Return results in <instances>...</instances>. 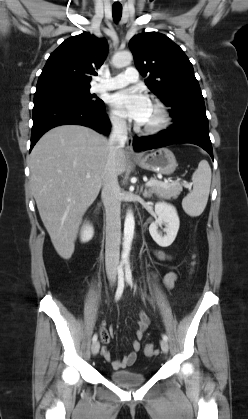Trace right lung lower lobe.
I'll return each mask as SVG.
<instances>
[{"instance_id": "obj_1", "label": "right lung lower lobe", "mask_w": 248, "mask_h": 419, "mask_svg": "<svg viewBox=\"0 0 248 419\" xmlns=\"http://www.w3.org/2000/svg\"><path fill=\"white\" fill-rule=\"evenodd\" d=\"M65 124L87 126L104 134L110 131L105 107L96 109L68 100L42 101L34 103L30 151L45 132Z\"/></svg>"}]
</instances>
